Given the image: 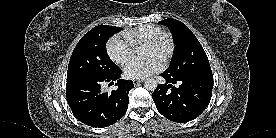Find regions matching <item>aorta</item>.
Segmentation results:
<instances>
[{"mask_svg":"<svg viewBox=\"0 0 276 138\" xmlns=\"http://www.w3.org/2000/svg\"><path fill=\"white\" fill-rule=\"evenodd\" d=\"M144 87L147 90L154 91L157 88V81L154 78H147L144 82Z\"/></svg>","mask_w":276,"mask_h":138,"instance_id":"1","label":"aorta"}]
</instances>
